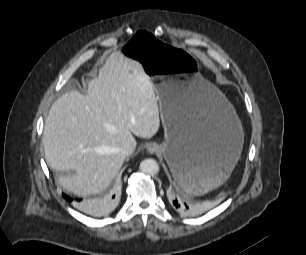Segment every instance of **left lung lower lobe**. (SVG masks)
Segmentation results:
<instances>
[{"label": "left lung lower lobe", "mask_w": 306, "mask_h": 255, "mask_svg": "<svg viewBox=\"0 0 306 255\" xmlns=\"http://www.w3.org/2000/svg\"><path fill=\"white\" fill-rule=\"evenodd\" d=\"M190 182L188 175L182 177V184ZM170 199L172 207L182 214H196L200 211L199 205L192 204L184 199H181L177 190L173 189L170 192Z\"/></svg>", "instance_id": "0a47b994"}]
</instances>
